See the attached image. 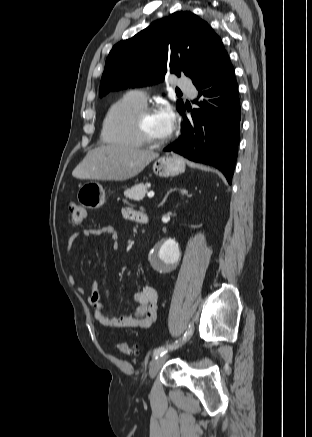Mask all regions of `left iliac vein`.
<instances>
[{
  "label": "left iliac vein",
  "instance_id": "left-iliac-vein-1",
  "mask_svg": "<svg viewBox=\"0 0 312 437\" xmlns=\"http://www.w3.org/2000/svg\"><path fill=\"white\" fill-rule=\"evenodd\" d=\"M167 356H159L158 358H155L154 360H152V362L150 363L149 366V376L151 378H154L157 373L159 372V370L161 369L162 365L164 364V362L166 361Z\"/></svg>",
  "mask_w": 312,
  "mask_h": 437
}]
</instances>
